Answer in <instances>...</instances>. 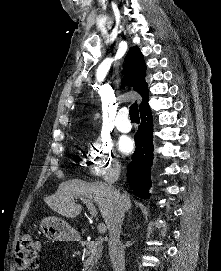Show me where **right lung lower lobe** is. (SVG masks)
Returning a JSON list of instances; mask_svg holds the SVG:
<instances>
[{
  "label": "right lung lower lobe",
  "instance_id": "obj_1",
  "mask_svg": "<svg viewBox=\"0 0 221 271\" xmlns=\"http://www.w3.org/2000/svg\"><path fill=\"white\" fill-rule=\"evenodd\" d=\"M141 124L135 135L136 149L127 169L130 188L140 198H149L151 166L153 160V117L150 108L140 112Z\"/></svg>",
  "mask_w": 221,
  "mask_h": 271
}]
</instances>
